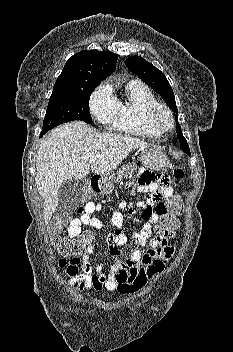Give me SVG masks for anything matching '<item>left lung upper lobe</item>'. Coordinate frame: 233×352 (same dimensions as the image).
<instances>
[{"instance_id": "1", "label": "left lung upper lobe", "mask_w": 233, "mask_h": 352, "mask_svg": "<svg viewBox=\"0 0 233 352\" xmlns=\"http://www.w3.org/2000/svg\"><path fill=\"white\" fill-rule=\"evenodd\" d=\"M125 65L132 73L136 74L142 81L160 94L173 112L176 114L178 113L173 90L165 75L160 70L140 56H131L127 58L125 60ZM176 133L179 138L181 150L190 154L189 146L181 132L180 125H177Z\"/></svg>"}]
</instances>
